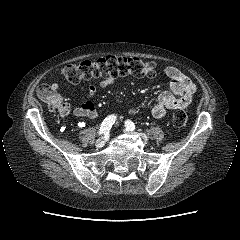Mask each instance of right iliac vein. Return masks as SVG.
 Here are the masks:
<instances>
[{"label": "right iliac vein", "instance_id": "obj_1", "mask_svg": "<svg viewBox=\"0 0 240 240\" xmlns=\"http://www.w3.org/2000/svg\"><path fill=\"white\" fill-rule=\"evenodd\" d=\"M106 139L105 137H101L96 141V147L101 148L105 145Z\"/></svg>", "mask_w": 240, "mask_h": 240}]
</instances>
